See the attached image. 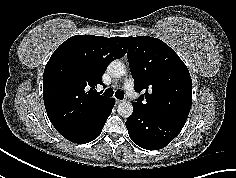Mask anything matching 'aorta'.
<instances>
[{
  "instance_id": "762f6f07",
  "label": "aorta",
  "mask_w": 236,
  "mask_h": 178,
  "mask_svg": "<svg viewBox=\"0 0 236 178\" xmlns=\"http://www.w3.org/2000/svg\"><path fill=\"white\" fill-rule=\"evenodd\" d=\"M109 74L114 78H120L125 74V65L119 61L114 60L108 66ZM117 112L120 116L128 118L133 113V105L130 102H121L118 105Z\"/></svg>"
}]
</instances>
